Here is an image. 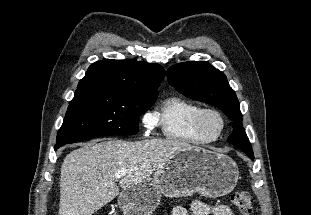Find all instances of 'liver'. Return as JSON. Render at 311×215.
<instances>
[{
  "label": "liver",
  "mask_w": 311,
  "mask_h": 215,
  "mask_svg": "<svg viewBox=\"0 0 311 215\" xmlns=\"http://www.w3.org/2000/svg\"><path fill=\"white\" fill-rule=\"evenodd\" d=\"M192 147L186 142L150 139L107 140L70 152L61 166L58 215H92L119 195L115 172L132 170L120 181L127 189L148 178L166 161Z\"/></svg>",
  "instance_id": "obj_1"
}]
</instances>
